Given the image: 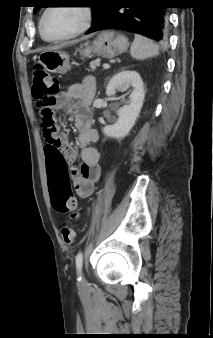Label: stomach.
I'll return each instance as SVG.
<instances>
[{
  "mask_svg": "<svg viewBox=\"0 0 213 338\" xmlns=\"http://www.w3.org/2000/svg\"><path fill=\"white\" fill-rule=\"evenodd\" d=\"M128 47V39L123 34L115 31H102L91 43L84 44L82 55L87 57L96 54L112 59L126 52ZM38 63L51 73L65 74L70 69L69 56L58 49L42 52L38 57Z\"/></svg>",
  "mask_w": 213,
  "mask_h": 338,
  "instance_id": "stomach-1",
  "label": "stomach"
}]
</instances>
